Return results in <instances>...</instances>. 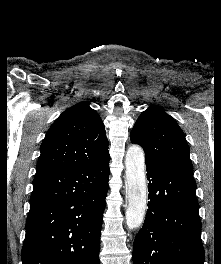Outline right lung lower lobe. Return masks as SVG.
Returning <instances> with one entry per match:
<instances>
[{
    "mask_svg": "<svg viewBox=\"0 0 221 264\" xmlns=\"http://www.w3.org/2000/svg\"><path fill=\"white\" fill-rule=\"evenodd\" d=\"M109 160L35 176L23 264H99Z\"/></svg>",
    "mask_w": 221,
    "mask_h": 264,
    "instance_id": "98d812e1",
    "label": "right lung lower lobe"
}]
</instances>
